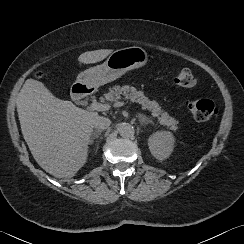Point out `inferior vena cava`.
<instances>
[{"mask_svg": "<svg viewBox=\"0 0 244 244\" xmlns=\"http://www.w3.org/2000/svg\"><path fill=\"white\" fill-rule=\"evenodd\" d=\"M93 126L98 130L109 128L111 120L103 116H96L92 121Z\"/></svg>", "mask_w": 244, "mask_h": 244, "instance_id": "602c4592", "label": "inferior vena cava"}]
</instances>
